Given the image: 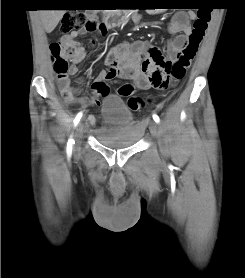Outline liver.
Instances as JSON below:
<instances>
[{"label": "liver", "mask_w": 245, "mask_h": 278, "mask_svg": "<svg viewBox=\"0 0 245 278\" xmlns=\"http://www.w3.org/2000/svg\"><path fill=\"white\" fill-rule=\"evenodd\" d=\"M66 10H41L40 11V18L44 29L47 33H51L56 26L58 25L59 21L62 19L63 15L65 14Z\"/></svg>", "instance_id": "6515ba94"}]
</instances>
